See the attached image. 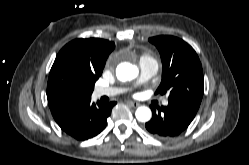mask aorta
<instances>
[{"label":"aorta","instance_id":"aorta-1","mask_svg":"<svg viewBox=\"0 0 249 165\" xmlns=\"http://www.w3.org/2000/svg\"><path fill=\"white\" fill-rule=\"evenodd\" d=\"M138 75L136 66L130 63H121L116 69V76L120 81H129ZM136 118L140 122H147L151 119V110L148 107L141 106L135 112Z\"/></svg>","mask_w":249,"mask_h":165}]
</instances>
